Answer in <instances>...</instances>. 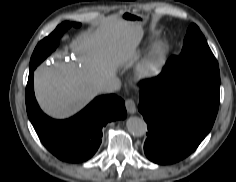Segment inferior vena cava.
<instances>
[{"label": "inferior vena cava", "mask_w": 236, "mask_h": 182, "mask_svg": "<svg viewBox=\"0 0 236 182\" xmlns=\"http://www.w3.org/2000/svg\"><path fill=\"white\" fill-rule=\"evenodd\" d=\"M120 88V80L115 76H111L103 81V83L99 87V91L102 93H113L118 91Z\"/></svg>", "instance_id": "1"}]
</instances>
